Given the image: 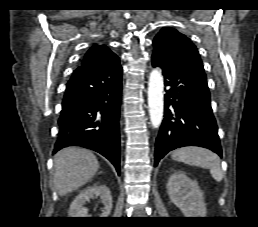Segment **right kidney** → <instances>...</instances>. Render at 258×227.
I'll return each instance as SVG.
<instances>
[{
	"instance_id": "obj_1",
	"label": "right kidney",
	"mask_w": 258,
	"mask_h": 227,
	"mask_svg": "<svg viewBox=\"0 0 258 227\" xmlns=\"http://www.w3.org/2000/svg\"><path fill=\"white\" fill-rule=\"evenodd\" d=\"M98 197L104 205L100 217H108L112 210L113 201L110 190L105 185H94L82 190L70 205L69 217H88V210L84 205L90 199Z\"/></svg>"
}]
</instances>
